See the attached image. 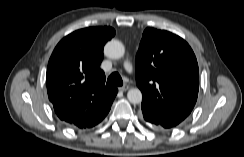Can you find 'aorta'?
I'll return each instance as SVG.
<instances>
[{
    "label": "aorta",
    "instance_id": "aorta-1",
    "mask_svg": "<svg viewBox=\"0 0 244 157\" xmlns=\"http://www.w3.org/2000/svg\"><path fill=\"white\" fill-rule=\"evenodd\" d=\"M104 53L108 58L119 59L125 54L124 45L118 40L108 41L104 47ZM128 100L133 104L142 101V93L138 88H132L127 93Z\"/></svg>",
    "mask_w": 244,
    "mask_h": 157
}]
</instances>
